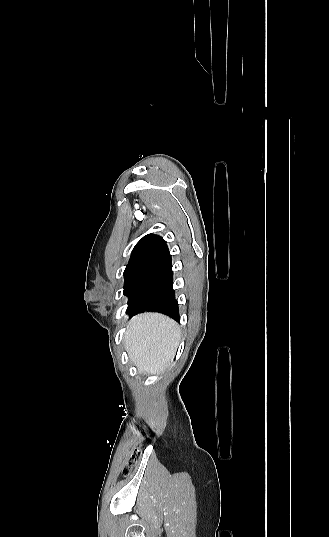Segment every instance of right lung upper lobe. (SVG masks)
<instances>
[{"mask_svg":"<svg viewBox=\"0 0 329 537\" xmlns=\"http://www.w3.org/2000/svg\"><path fill=\"white\" fill-rule=\"evenodd\" d=\"M169 253L163 238L148 234L144 236L134 247L128 265L150 264Z\"/></svg>","mask_w":329,"mask_h":537,"instance_id":"cb5924a9","label":"right lung upper lobe"}]
</instances>
